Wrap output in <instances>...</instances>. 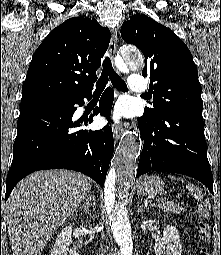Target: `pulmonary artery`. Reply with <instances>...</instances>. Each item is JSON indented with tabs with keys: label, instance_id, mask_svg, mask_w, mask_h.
I'll return each mask as SVG.
<instances>
[{
	"label": "pulmonary artery",
	"instance_id": "pulmonary-artery-1",
	"mask_svg": "<svg viewBox=\"0 0 221 255\" xmlns=\"http://www.w3.org/2000/svg\"><path fill=\"white\" fill-rule=\"evenodd\" d=\"M128 87L132 92L143 94L147 91V83L139 74H132L129 77Z\"/></svg>",
	"mask_w": 221,
	"mask_h": 255
}]
</instances>
